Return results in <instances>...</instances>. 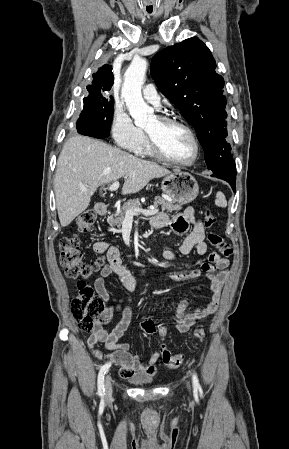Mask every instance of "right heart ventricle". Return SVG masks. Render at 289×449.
Instances as JSON below:
<instances>
[{
  "mask_svg": "<svg viewBox=\"0 0 289 449\" xmlns=\"http://www.w3.org/2000/svg\"><path fill=\"white\" fill-rule=\"evenodd\" d=\"M136 153H138L140 155H152V153L149 150L147 139L145 136H144V140H143L141 146L138 148Z\"/></svg>",
  "mask_w": 289,
  "mask_h": 449,
  "instance_id": "1",
  "label": "right heart ventricle"
}]
</instances>
